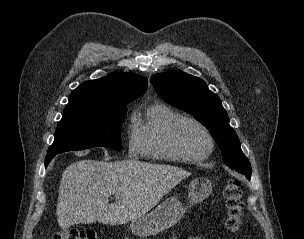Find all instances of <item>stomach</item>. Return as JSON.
<instances>
[{"instance_id":"0dacf381","label":"stomach","mask_w":304,"mask_h":239,"mask_svg":"<svg viewBox=\"0 0 304 239\" xmlns=\"http://www.w3.org/2000/svg\"><path fill=\"white\" fill-rule=\"evenodd\" d=\"M212 192V184L207 178L199 177L191 181L188 188L190 204L198 203ZM187 207L176 197H169L148 214L131 221L132 233L139 237L155 235L174 226L184 216Z\"/></svg>"}]
</instances>
